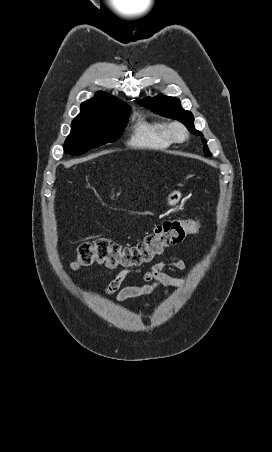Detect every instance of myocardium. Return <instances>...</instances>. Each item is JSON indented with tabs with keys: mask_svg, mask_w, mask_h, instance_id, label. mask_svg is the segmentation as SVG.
Segmentation results:
<instances>
[{
	"mask_svg": "<svg viewBox=\"0 0 272 452\" xmlns=\"http://www.w3.org/2000/svg\"><path fill=\"white\" fill-rule=\"evenodd\" d=\"M170 135L174 141L182 142L187 139L188 131L186 127L180 122H173L170 125Z\"/></svg>",
	"mask_w": 272,
	"mask_h": 452,
	"instance_id": "1",
	"label": "myocardium"
}]
</instances>
